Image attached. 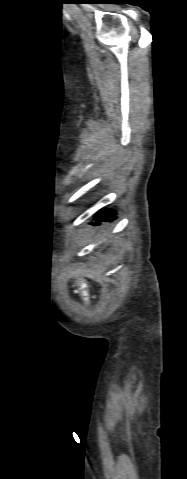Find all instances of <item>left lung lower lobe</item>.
Returning a JSON list of instances; mask_svg holds the SVG:
<instances>
[{
  "label": "left lung lower lobe",
  "instance_id": "0a47b994",
  "mask_svg": "<svg viewBox=\"0 0 187 479\" xmlns=\"http://www.w3.org/2000/svg\"><path fill=\"white\" fill-rule=\"evenodd\" d=\"M114 218H115V215L112 212L101 211L95 217V220H96L97 224H100L101 221H109L110 222V221L114 220ZM92 224H94V223H92Z\"/></svg>",
  "mask_w": 187,
  "mask_h": 479
}]
</instances>
